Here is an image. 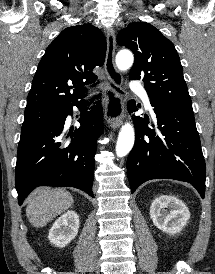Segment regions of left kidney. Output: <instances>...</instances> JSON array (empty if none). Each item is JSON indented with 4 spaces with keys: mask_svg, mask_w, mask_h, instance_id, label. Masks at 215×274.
I'll list each match as a JSON object with an SVG mask.
<instances>
[{
    "mask_svg": "<svg viewBox=\"0 0 215 274\" xmlns=\"http://www.w3.org/2000/svg\"><path fill=\"white\" fill-rule=\"evenodd\" d=\"M150 217L158 229L174 235L186 226L190 219V212L177 197L162 195L153 200Z\"/></svg>",
    "mask_w": 215,
    "mask_h": 274,
    "instance_id": "obj_1",
    "label": "left kidney"
}]
</instances>
